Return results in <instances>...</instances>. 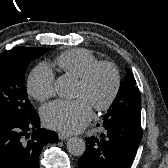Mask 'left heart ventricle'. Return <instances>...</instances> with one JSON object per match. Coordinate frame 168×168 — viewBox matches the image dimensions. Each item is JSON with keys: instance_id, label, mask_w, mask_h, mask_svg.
I'll return each mask as SVG.
<instances>
[{"instance_id": "b2bd125f", "label": "left heart ventricle", "mask_w": 168, "mask_h": 168, "mask_svg": "<svg viewBox=\"0 0 168 168\" xmlns=\"http://www.w3.org/2000/svg\"><path fill=\"white\" fill-rule=\"evenodd\" d=\"M112 76L107 69H101L88 87L79 82L76 86L75 96L85 98L90 105L103 101L111 90Z\"/></svg>"}]
</instances>
